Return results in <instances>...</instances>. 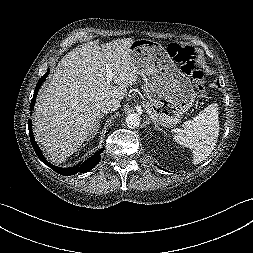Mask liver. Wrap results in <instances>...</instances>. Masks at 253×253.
<instances>
[{"instance_id":"liver-1","label":"liver","mask_w":253,"mask_h":253,"mask_svg":"<svg viewBox=\"0 0 253 253\" xmlns=\"http://www.w3.org/2000/svg\"><path fill=\"white\" fill-rule=\"evenodd\" d=\"M133 41H90L68 52L54 69L33 115L36 141L53 163L66 161L93 134L103 101L122 100L126 88L137 82L129 50ZM106 64L115 86L106 82Z\"/></svg>"}]
</instances>
